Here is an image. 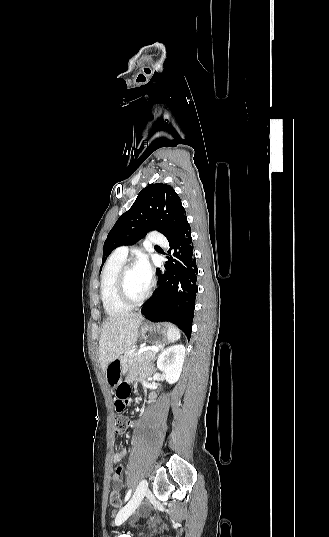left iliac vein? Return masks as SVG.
Instances as JSON below:
<instances>
[{"mask_svg":"<svg viewBox=\"0 0 329 537\" xmlns=\"http://www.w3.org/2000/svg\"><path fill=\"white\" fill-rule=\"evenodd\" d=\"M147 491H148V483L145 479H143L140 481L131 499L117 514L116 519H115L116 526H119L122 523H124L133 514V512L142 503V500L145 494L147 493Z\"/></svg>","mask_w":329,"mask_h":537,"instance_id":"left-iliac-vein-1","label":"left iliac vein"}]
</instances>
